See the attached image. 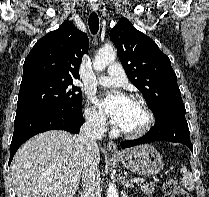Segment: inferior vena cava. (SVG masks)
Here are the masks:
<instances>
[{
    "label": "inferior vena cava",
    "instance_id": "1",
    "mask_svg": "<svg viewBox=\"0 0 209 197\" xmlns=\"http://www.w3.org/2000/svg\"><path fill=\"white\" fill-rule=\"evenodd\" d=\"M105 126L104 116L94 114L87 118L78 135V141L86 149V160L82 172L84 189L82 197H101L100 171L94 159V154L98 148L96 141L102 139Z\"/></svg>",
    "mask_w": 209,
    "mask_h": 197
}]
</instances>
